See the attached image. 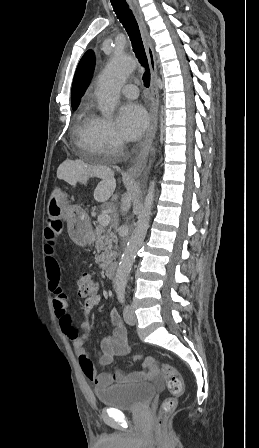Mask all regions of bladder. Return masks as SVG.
Wrapping results in <instances>:
<instances>
[{"label": "bladder", "instance_id": "obj_1", "mask_svg": "<svg viewBox=\"0 0 259 448\" xmlns=\"http://www.w3.org/2000/svg\"><path fill=\"white\" fill-rule=\"evenodd\" d=\"M155 394L150 383H121L95 390L99 403L121 410H137L145 406Z\"/></svg>", "mask_w": 259, "mask_h": 448}]
</instances>
